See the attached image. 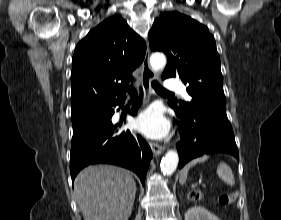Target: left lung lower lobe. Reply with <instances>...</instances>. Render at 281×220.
Returning <instances> with one entry per match:
<instances>
[{"label": "left lung lower lobe", "mask_w": 281, "mask_h": 220, "mask_svg": "<svg viewBox=\"0 0 281 220\" xmlns=\"http://www.w3.org/2000/svg\"><path fill=\"white\" fill-rule=\"evenodd\" d=\"M169 105L176 112V122L180 127L181 141L177 143L179 168L205 154L227 153L239 159L226 109L206 106L185 112L180 107Z\"/></svg>", "instance_id": "0a47b994"}]
</instances>
